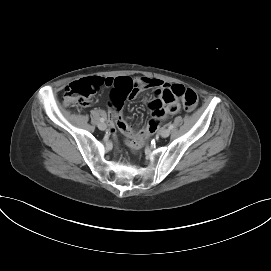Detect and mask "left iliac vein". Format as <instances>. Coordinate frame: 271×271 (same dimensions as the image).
<instances>
[{
    "instance_id": "4c4485c4",
    "label": "left iliac vein",
    "mask_w": 271,
    "mask_h": 271,
    "mask_svg": "<svg viewBox=\"0 0 271 271\" xmlns=\"http://www.w3.org/2000/svg\"><path fill=\"white\" fill-rule=\"evenodd\" d=\"M159 134H160L162 137L166 138V137H168V136L170 135V129L164 128V129L160 130V133H159Z\"/></svg>"
}]
</instances>
